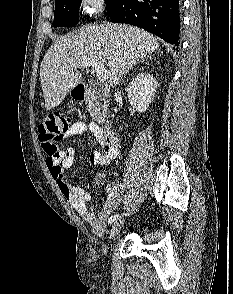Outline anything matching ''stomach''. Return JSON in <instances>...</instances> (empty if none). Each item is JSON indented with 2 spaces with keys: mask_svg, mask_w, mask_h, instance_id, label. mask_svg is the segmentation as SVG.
Masks as SVG:
<instances>
[{
  "mask_svg": "<svg viewBox=\"0 0 233 294\" xmlns=\"http://www.w3.org/2000/svg\"><path fill=\"white\" fill-rule=\"evenodd\" d=\"M70 93H71L72 97H75V96H77V93L74 91V89H73V90H71V91H70Z\"/></svg>",
  "mask_w": 233,
  "mask_h": 294,
  "instance_id": "obj_1",
  "label": "stomach"
}]
</instances>
